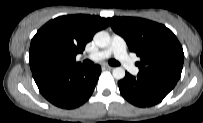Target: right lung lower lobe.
<instances>
[{
  "mask_svg": "<svg viewBox=\"0 0 203 123\" xmlns=\"http://www.w3.org/2000/svg\"><path fill=\"white\" fill-rule=\"evenodd\" d=\"M100 73L99 65L87 69L80 64L32 70L41 94L66 109L76 108L89 99Z\"/></svg>",
  "mask_w": 203,
  "mask_h": 123,
  "instance_id": "obj_1",
  "label": "right lung lower lobe"
}]
</instances>
